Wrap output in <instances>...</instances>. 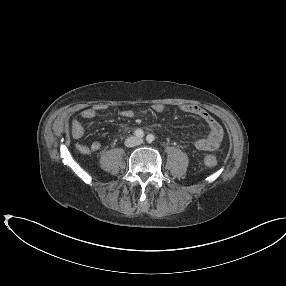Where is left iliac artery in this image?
I'll use <instances>...</instances> for the list:
<instances>
[{
  "label": "left iliac artery",
  "instance_id": "44dca946",
  "mask_svg": "<svg viewBox=\"0 0 286 286\" xmlns=\"http://www.w3.org/2000/svg\"><path fill=\"white\" fill-rule=\"evenodd\" d=\"M147 142L152 143L155 140V136L153 134H149L146 137Z\"/></svg>",
  "mask_w": 286,
  "mask_h": 286
}]
</instances>
